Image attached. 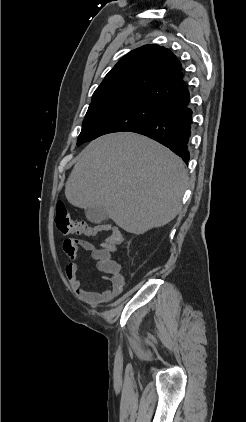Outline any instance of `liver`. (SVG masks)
<instances>
[{
    "instance_id": "6515ba94",
    "label": "liver",
    "mask_w": 246,
    "mask_h": 422,
    "mask_svg": "<svg viewBox=\"0 0 246 422\" xmlns=\"http://www.w3.org/2000/svg\"><path fill=\"white\" fill-rule=\"evenodd\" d=\"M188 173L181 158L148 137L104 135L82 151L66 184L76 207L101 206L126 232L144 234L181 210Z\"/></svg>"
}]
</instances>
